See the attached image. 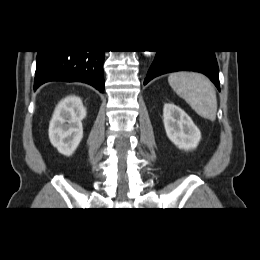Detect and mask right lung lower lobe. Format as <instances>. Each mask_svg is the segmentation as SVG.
Listing matches in <instances>:
<instances>
[{"instance_id": "98d812e1", "label": "right lung lower lobe", "mask_w": 260, "mask_h": 260, "mask_svg": "<svg viewBox=\"0 0 260 260\" xmlns=\"http://www.w3.org/2000/svg\"><path fill=\"white\" fill-rule=\"evenodd\" d=\"M104 51H38L34 90L49 81L84 82L104 92Z\"/></svg>"}]
</instances>
